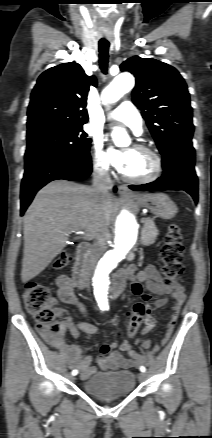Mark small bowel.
Returning <instances> with one entry per match:
<instances>
[{"mask_svg": "<svg viewBox=\"0 0 212 438\" xmlns=\"http://www.w3.org/2000/svg\"><path fill=\"white\" fill-rule=\"evenodd\" d=\"M117 278L121 279L123 283L126 280L132 281V293L142 299L145 298L150 300V295L146 293L145 290L153 293L157 297L153 303H149L150 315L147 316L144 321L142 333H148L157 324L155 317L151 314L152 309L164 306L168 301L167 296L173 298L174 314L167 324L166 333L162 339V343H166L173 332L178 314L186 299L183 285L178 282H165L153 265H147L144 269L138 272L134 266H128L119 273ZM142 283H144V286ZM56 285L58 297L62 302H74L82 312H86V308L74 298L73 289L75 285L69 276H58L56 279ZM54 313L57 317L63 318V322L61 323L63 331L68 330L75 337L79 335L78 326L64 308L55 307ZM79 327L86 333L87 337H91L96 333L95 326L90 322H82L79 324ZM39 332L46 342L62 351L71 368H77L80 371V378L82 380L88 379L96 372V368L91 365V356L85 354L79 345L66 344L60 335L54 334L48 327L39 326ZM117 348L122 352H126L129 355V358H125L120 351L116 350ZM144 362V357L136 352L129 343H119L118 341H112L109 344L103 345L97 359V363L102 370L137 368Z\"/></svg>", "mask_w": 212, "mask_h": 438, "instance_id": "1", "label": "small bowel"}]
</instances>
